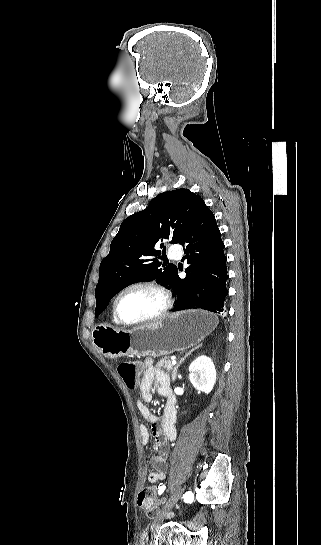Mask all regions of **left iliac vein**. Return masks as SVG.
<instances>
[{"label":"left iliac vein","mask_w":321,"mask_h":545,"mask_svg":"<svg viewBox=\"0 0 321 545\" xmlns=\"http://www.w3.org/2000/svg\"><path fill=\"white\" fill-rule=\"evenodd\" d=\"M182 494V488H178L175 490L170 498L168 499V502L166 503L165 507L163 508L160 515L155 519L153 525H152V531L156 533L160 527V525L163 523L165 516L167 513L172 509V507L175 505V503L178 501Z\"/></svg>","instance_id":"4c4485c4"}]
</instances>
